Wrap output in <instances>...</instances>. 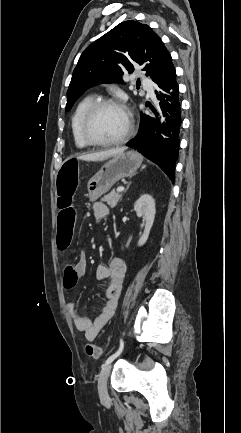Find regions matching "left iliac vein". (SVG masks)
<instances>
[{
  "instance_id": "left-iliac-vein-1",
  "label": "left iliac vein",
  "mask_w": 241,
  "mask_h": 433,
  "mask_svg": "<svg viewBox=\"0 0 241 433\" xmlns=\"http://www.w3.org/2000/svg\"><path fill=\"white\" fill-rule=\"evenodd\" d=\"M111 367L112 364H108L102 370L98 380V392H99L100 399L103 401H107L109 398L108 391H107V380L111 371Z\"/></svg>"
}]
</instances>
